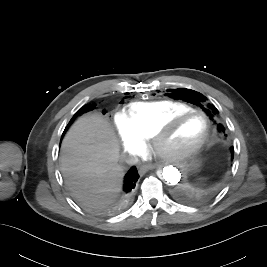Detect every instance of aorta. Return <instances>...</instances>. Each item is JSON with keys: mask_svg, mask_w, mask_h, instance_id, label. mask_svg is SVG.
<instances>
[{"mask_svg": "<svg viewBox=\"0 0 267 267\" xmlns=\"http://www.w3.org/2000/svg\"><path fill=\"white\" fill-rule=\"evenodd\" d=\"M157 176L170 185H176L181 179L180 170L173 165L160 167Z\"/></svg>", "mask_w": 267, "mask_h": 267, "instance_id": "1", "label": "aorta"}]
</instances>
